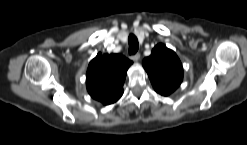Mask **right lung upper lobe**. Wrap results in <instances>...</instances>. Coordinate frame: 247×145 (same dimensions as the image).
Here are the masks:
<instances>
[{
  "label": "right lung upper lobe",
  "instance_id": "obj_1",
  "mask_svg": "<svg viewBox=\"0 0 247 145\" xmlns=\"http://www.w3.org/2000/svg\"><path fill=\"white\" fill-rule=\"evenodd\" d=\"M132 61L121 54L98 53L89 63L86 85L92 98L105 105L116 102L123 94L126 72Z\"/></svg>",
  "mask_w": 247,
  "mask_h": 145
}]
</instances>
